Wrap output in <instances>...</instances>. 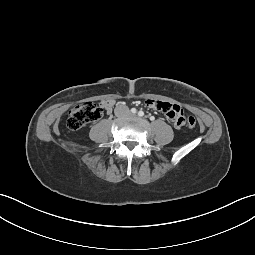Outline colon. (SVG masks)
<instances>
[{"mask_svg": "<svg viewBox=\"0 0 255 255\" xmlns=\"http://www.w3.org/2000/svg\"><path fill=\"white\" fill-rule=\"evenodd\" d=\"M102 116V109L92 102H85L73 107L68 115L67 125L71 130H78L89 123L99 120ZM186 117V116H185ZM194 128L196 120L193 116L186 117V124Z\"/></svg>", "mask_w": 255, "mask_h": 255, "instance_id": "colon-1", "label": "colon"}]
</instances>
